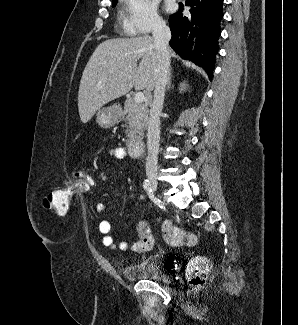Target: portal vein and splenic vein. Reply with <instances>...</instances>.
Here are the masks:
<instances>
[{"instance_id": "18ae733b", "label": "portal vein and splenic vein", "mask_w": 298, "mask_h": 325, "mask_svg": "<svg viewBox=\"0 0 298 325\" xmlns=\"http://www.w3.org/2000/svg\"><path fill=\"white\" fill-rule=\"evenodd\" d=\"M134 100H135V102H143V100H144L143 92H136V94L134 96Z\"/></svg>"}]
</instances>
